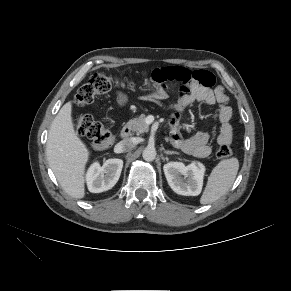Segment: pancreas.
Segmentation results:
<instances>
[{"label":"pancreas","mask_w":291,"mask_h":291,"mask_svg":"<svg viewBox=\"0 0 291 291\" xmlns=\"http://www.w3.org/2000/svg\"><path fill=\"white\" fill-rule=\"evenodd\" d=\"M145 118V114H141L138 118L130 120L127 126L137 134L148 132L149 126L146 124Z\"/></svg>","instance_id":"obj_1"}]
</instances>
